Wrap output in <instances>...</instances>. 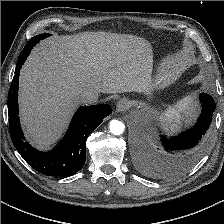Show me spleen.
Here are the masks:
<instances>
[{
	"label": "spleen",
	"instance_id": "3e777b00",
	"mask_svg": "<svg viewBox=\"0 0 224 224\" xmlns=\"http://www.w3.org/2000/svg\"><path fill=\"white\" fill-rule=\"evenodd\" d=\"M194 100L192 96H186L178 101L175 107H169L160 117V120L169 125L171 129H177L187 124L194 116Z\"/></svg>",
	"mask_w": 224,
	"mask_h": 224
}]
</instances>
